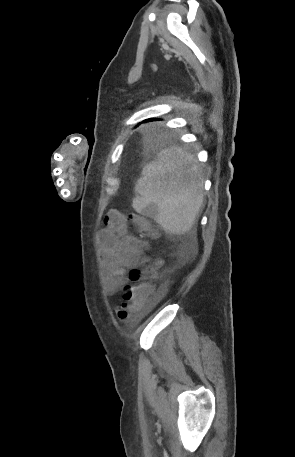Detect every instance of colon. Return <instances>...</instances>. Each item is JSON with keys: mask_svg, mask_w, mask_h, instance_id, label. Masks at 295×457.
Here are the masks:
<instances>
[{"mask_svg": "<svg viewBox=\"0 0 295 457\" xmlns=\"http://www.w3.org/2000/svg\"><path fill=\"white\" fill-rule=\"evenodd\" d=\"M130 219L138 228L141 236L151 239L157 237V231L149 219L138 214H131ZM159 266V261H153L142 269L135 268L130 270L129 280L132 284L127 286L123 294L122 303L117 309V315L121 321H134L139 317L147 299L152 294L151 285L141 282L156 278Z\"/></svg>", "mask_w": 295, "mask_h": 457, "instance_id": "5ec220e1", "label": "colon"}]
</instances>
